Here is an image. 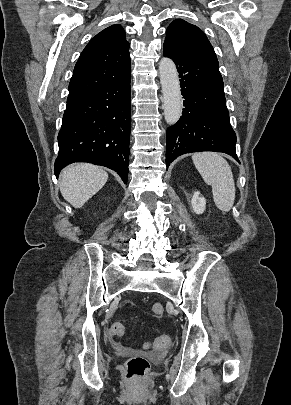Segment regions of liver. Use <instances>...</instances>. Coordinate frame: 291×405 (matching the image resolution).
<instances>
[{
  "instance_id": "obj_1",
  "label": "liver",
  "mask_w": 291,
  "mask_h": 405,
  "mask_svg": "<svg viewBox=\"0 0 291 405\" xmlns=\"http://www.w3.org/2000/svg\"><path fill=\"white\" fill-rule=\"evenodd\" d=\"M108 174L89 163L67 166L60 174V191L73 207L81 208L107 182Z\"/></svg>"
}]
</instances>
